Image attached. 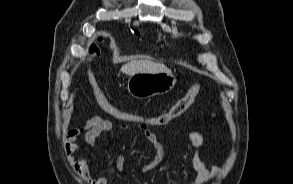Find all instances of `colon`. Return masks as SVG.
<instances>
[{"label": "colon", "mask_w": 293, "mask_h": 184, "mask_svg": "<svg viewBox=\"0 0 293 184\" xmlns=\"http://www.w3.org/2000/svg\"><path fill=\"white\" fill-rule=\"evenodd\" d=\"M103 42V38H98L97 41L89 46L88 53L90 61L87 65L86 75L95 99L97 100L99 105L110 115L122 120L139 122L152 126H163L187 111L189 107L194 103L197 95L201 91L200 84L193 85L186 92V94L178 99L167 111H164L163 113L156 116H147L139 114L137 112L120 110L114 107L108 101L104 93L101 91L92 71V61L96 60L100 56Z\"/></svg>", "instance_id": "colon-1"}]
</instances>
